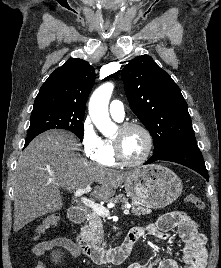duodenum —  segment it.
Returning a JSON list of instances; mask_svg holds the SVG:
<instances>
[{
	"mask_svg": "<svg viewBox=\"0 0 221 268\" xmlns=\"http://www.w3.org/2000/svg\"><path fill=\"white\" fill-rule=\"evenodd\" d=\"M88 212L82 207H75L69 211V218L74 223H82L86 220ZM139 240L138 233L131 229L125 237L123 243L115 248L105 249L89 243L84 238L78 236L76 244L84 256L97 264L119 265L131 254L136 242Z\"/></svg>",
	"mask_w": 221,
	"mask_h": 268,
	"instance_id": "1",
	"label": "duodenum"
}]
</instances>
